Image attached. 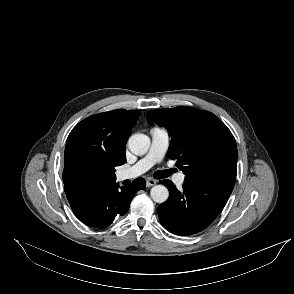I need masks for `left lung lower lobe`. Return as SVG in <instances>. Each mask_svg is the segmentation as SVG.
Returning a JSON list of instances; mask_svg holds the SVG:
<instances>
[{"label":"left lung lower lobe","instance_id":"obj_1","mask_svg":"<svg viewBox=\"0 0 294 294\" xmlns=\"http://www.w3.org/2000/svg\"><path fill=\"white\" fill-rule=\"evenodd\" d=\"M169 198L158 207L160 222L171 233L186 236L202 231L224 208L233 188L231 181L202 178L185 181L180 192L170 180H161Z\"/></svg>","mask_w":294,"mask_h":294}]
</instances>
